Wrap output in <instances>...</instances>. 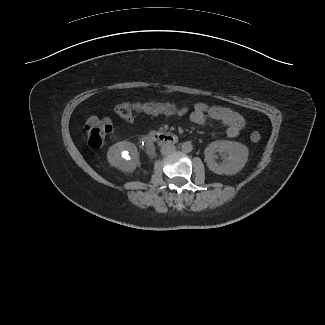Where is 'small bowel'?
I'll return each mask as SVG.
<instances>
[{"instance_id":"1","label":"small bowel","mask_w":325,"mask_h":325,"mask_svg":"<svg viewBox=\"0 0 325 325\" xmlns=\"http://www.w3.org/2000/svg\"><path fill=\"white\" fill-rule=\"evenodd\" d=\"M148 102L134 103L135 111L146 114L143 107ZM178 105L183 109L182 114L178 117L185 116L189 111L188 105L185 103H179ZM189 119L192 123L202 126L206 125L209 121L220 122L226 126V134L229 138L237 137L245 125L243 117L236 111L227 107L209 106L202 102L194 105L193 110L189 114Z\"/></svg>"}]
</instances>
